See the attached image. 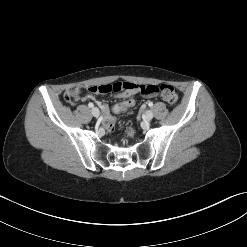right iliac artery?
<instances>
[{"label":"right iliac artery","instance_id":"right-iliac-artery-1","mask_svg":"<svg viewBox=\"0 0 247 247\" xmlns=\"http://www.w3.org/2000/svg\"><path fill=\"white\" fill-rule=\"evenodd\" d=\"M88 106H89L90 108H92V107L94 106V104H93V103H89Z\"/></svg>","mask_w":247,"mask_h":247}]
</instances>
